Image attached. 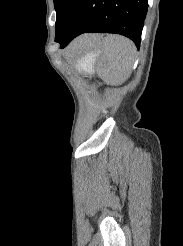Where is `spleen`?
Instances as JSON below:
<instances>
[{
  "instance_id": "spleen-1",
  "label": "spleen",
  "mask_w": 183,
  "mask_h": 246,
  "mask_svg": "<svg viewBox=\"0 0 183 246\" xmlns=\"http://www.w3.org/2000/svg\"><path fill=\"white\" fill-rule=\"evenodd\" d=\"M103 51L108 61L106 66L98 68V75L108 84L119 85L124 83L132 73L136 59V47L126 37L108 35L102 41ZM87 72L89 71L85 68Z\"/></svg>"
}]
</instances>
